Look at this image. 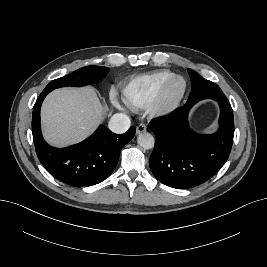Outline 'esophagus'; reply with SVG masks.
I'll use <instances>...</instances> for the list:
<instances>
[{"mask_svg": "<svg viewBox=\"0 0 267 267\" xmlns=\"http://www.w3.org/2000/svg\"><path fill=\"white\" fill-rule=\"evenodd\" d=\"M146 131V126L144 124H140L136 127V133L137 134H140L142 132H145Z\"/></svg>", "mask_w": 267, "mask_h": 267, "instance_id": "34e87169", "label": "esophagus"}]
</instances>
